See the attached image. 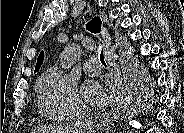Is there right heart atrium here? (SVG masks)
Segmentation results:
<instances>
[{"mask_svg":"<svg viewBox=\"0 0 184 133\" xmlns=\"http://www.w3.org/2000/svg\"><path fill=\"white\" fill-rule=\"evenodd\" d=\"M37 92L41 111L51 120L66 121L87 110L75 83L57 68H52L39 79Z\"/></svg>","mask_w":184,"mask_h":133,"instance_id":"right-heart-atrium-1","label":"right heart atrium"}]
</instances>
